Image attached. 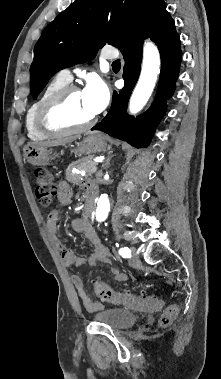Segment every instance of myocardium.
<instances>
[{
  "instance_id": "f54148a6",
  "label": "myocardium",
  "mask_w": 221,
  "mask_h": 379,
  "mask_svg": "<svg viewBox=\"0 0 221 379\" xmlns=\"http://www.w3.org/2000/svg\"><path fill=\"white\" fill-rule=\"evenodd\" d=\"M79 91L74 85H66L50 95L40 106L37 113V124L40 130L50 136L68 135L84 131L90 128L95 122L96 117L79 125H68L60 120V112L68 97Z\"/></svg>"
}]
</instances>
